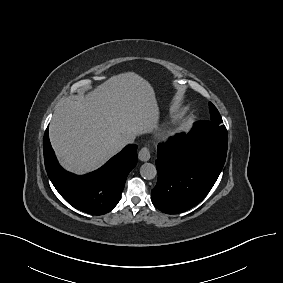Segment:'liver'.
I'll use <instances>...</instances> for the list:
<instances>
[{
    "instance_id": "6515ba94",
    "label": "liver",
    "mask_w": 283,
    "mask_h": 283,
    "mask_svg": "<svg viewBox=\"0 0 283 283\" xmlns=\"http://www.w3.org/2000/svg\"><path fill=\"white\" fill-rule=\"evenodd\" d=\"M159 107L152 86L133 72L113 76L86 96L55 111L49 135L61 165L83 174L118 153L123 134L157 129Z\"/></svg>"
}]
</instances>
